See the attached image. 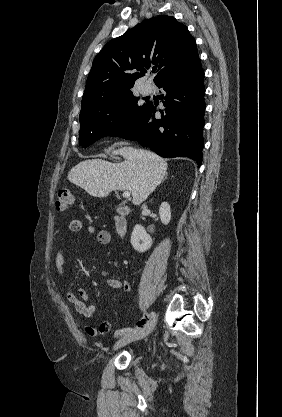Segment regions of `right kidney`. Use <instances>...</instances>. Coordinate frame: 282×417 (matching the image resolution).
<instances>
[{
	"instance_id": "1",
	"label": "right kidney",
	"mask_w": 282,
	"mask_h": 417,
	"mask_svg": "<svg viewBox=\"0 0 282 417\" xmlns=\"http://www.w3.org/2000/svg\"><path fill=\"white\" fill-rule=\"evenodd\" d=\"M160 219L163 225H168L171 221V209L168 202H161L159 209ZM133 249L138 251V253H145L150 247H152V239L150 235H147L144 227L142 225H135L131 233L130 241Z\"/></svg>"
}]
</instances>
